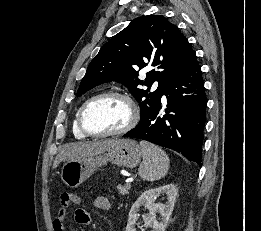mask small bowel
<instances>
[{
	"label": "small bowel",
	"mask_w": 261,
	"mask_h": 231,
	"mask_svg": "<svg viewBox=\"0 0 261 231\" xmlns=\"http://www.w3.org/2000/svg\"><path fill=\"white\" fill-rule=\"evenodd\" d=\"M95 207L103 210H107L110 207L109 200L106 197L98 196L94 200ZM65 213L60 209L57 212L56 218L53 221L54 231H63ZM75 220L80 226H87L91 223V215L89 211L83 208H78L75 211Z\"/></svg>",
	"instance_id": "c3829d8e"
}]
</instances>
